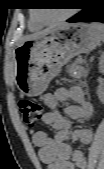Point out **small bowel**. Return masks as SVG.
<instances>
[{
    "label": "small bowel",
    "instance_id": "c3829d8e",
    "mask_svg": "<svg viewBox=\"0 0 104 169\" xmlns=\"http://www.w3.org/2000/svg\"><path fill=\"white\" fill-rule=\"evenodd\" d=\"M66 101L73 103L60 109L59 105ZM43 102L49 111L43 115L42 124L52 127L56 134L54 137L44 131L33 134L32 140L38 147L40 160L47 169H84L87 165L84 151L73 150L66 140L70 137L73 142L83 145L91 142L92 130L80 127L71 131V120L91 119L94 114L92 104L85 99L83 90L77 86L59 88L53 93H47L43 96Z\"/></svg>",
    "mask_w": 104,
    "mask_h": 169
}]
</instances>
